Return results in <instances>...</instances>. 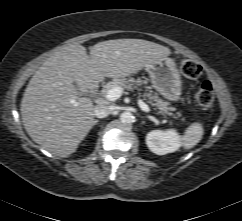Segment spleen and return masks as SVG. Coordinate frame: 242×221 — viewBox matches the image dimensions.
<instances>
[{"label":"spleen","mask_w":242,"mask_h":221,"mask_svg":"<svg viewBox=\"0 0 242 221\" xmlns=\"http://www.w3.org/2000/svg\"><path fill=\"white\" fill-rule=\"evenodd\" d=\"M203 126L200 123L190 125L183 136V146L185 149H190L200 142L203 136Z\"/></svg>","instance_id":"spleen-1"}]
</instances>
